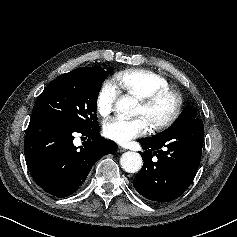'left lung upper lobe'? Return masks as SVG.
Segmentation results:
<instances>
[{"label": "left lung upper lobe", "mask_w": 237, "mask_h": 237, "mask_svg": "<svg viewBox=\"0 0 237 237\" xmlns=\"http://www.w3.org/2000/svg\"><path fill=\"white\" fill-rule=\"evenodd\" d=\"M196 116H197V111L195 108L185 107L183 109L181 115L178 117V119L174 122V124L169 129H167V130L163 131L162 133L157 134L153 137H148V139L159 140L163 137H166V136L172 134L173 132H175L176 130H178L183 125H185L188 121L196 118Z\"/></svg>", "instance_id": "1"}]
</instances>
